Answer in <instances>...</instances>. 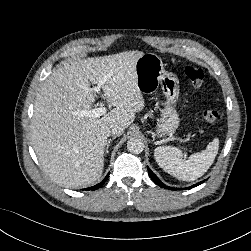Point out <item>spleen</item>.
<instances>
[{"mask_svg":"<svg viewBox=\"0 0 251 251\" xmlns=\"http://www.w3.org/2000/svg\"><path fill=\"white\" fill-rule=\"evenodd\" d=\"M219 149V140L210 142L201 152L182 159L181 150L170 146H160L154 150L157 164L167 173L183 181H194L203 176L215 160Z\"/></svg>","mask_w":251,"mask_h":251,"instance_id":"obj_1","label":"spleen"}]
</instances>
